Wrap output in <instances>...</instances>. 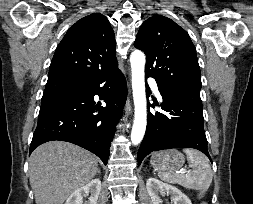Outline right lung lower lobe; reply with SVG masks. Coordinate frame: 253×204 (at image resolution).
Here are the masks:
<instances>
[{
	"instance_id": "obj_1",
	"label": "right lung lower lobe",
	"mask_w": 253,
	"mask_h": 204,
	"mask_svg": "<svg viewBox=\"0 0 253 204\" xmlns=\"http://www.w3.org/2000/svg\"><path fill=\"white\" fill-rule=\"evenodd\" d=\"M96 94L104 99V107L95 104ZM126 96V80L118 68L74 90L43 96L30 154L42 143L67 141L96 154L106 165Z\"/></svg>"
}]
</instances>
